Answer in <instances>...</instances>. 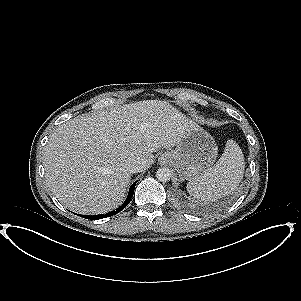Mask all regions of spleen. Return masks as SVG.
Segmentation results:
<instances>
[{"label":"spleen","instance_id":"spleen-1","mask_svg":"<svg viewBox=\"0 0 301 301\" xmlns=\"http://www.w3.org/2000/svg\"><path fill=\"white\" fill-rule=\"evenodd\" d=\"M244 156L240 147L228 140L220 159L202 176L187 184L188 193L195 199L215 201L231 195L243 179Z\"/></svg>","mask_w":301,"mask_h":301}]
</instances>
